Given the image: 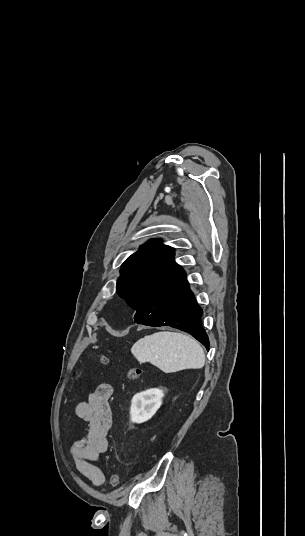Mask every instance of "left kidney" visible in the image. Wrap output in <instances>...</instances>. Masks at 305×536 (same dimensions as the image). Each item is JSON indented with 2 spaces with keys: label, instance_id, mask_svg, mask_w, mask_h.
<instances>
[{
  "label": "left kidney",
  "instance_id": "1",
  "mask_svg": "<svg viewBox=\"0 0 305 536\" xmlns=\"http://www.w3.org/2000/svg\"><path fill=\"white\" fill-rule=\"evenodd\" d=\"M163 396V390H158V388H152V390L136 394L131 400L130 414L132 422L141 424V422L150 420L159 410Z\"/></svg>",
  "mask_w": 305,
  "mask_h": 536
}]
</instances>
